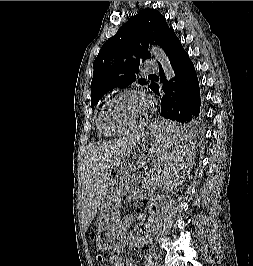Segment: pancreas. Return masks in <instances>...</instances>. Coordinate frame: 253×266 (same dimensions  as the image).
Segmentation results:
<instances>
[{
    "instance_id": "pancreas-1",
    "label": "pancreas",
    "mask_w": 253,
    "mask_h": 266,
    "mask_svg": "<svg viewBox=\"0 0 253 266\" xmlns=\"http://www.w3.org/2000/svg\"><path fill=\"white\" fill-rule=\"evenodd\" d=\"M131 178L132 177H127L126 179H125V188H126V192L128 193V200L130 201V200H133V201H135V202H137V201H140L141 199H144V198H146L147 197V194H145V193H143V191H141V190H139V189H132V188H130V185H131V183H132V181L133 180H131ZM148 183H146V186L147 185H151V186H153V185H155V180L154 179H152V178H148ZM141 192H142V194H141Z\"/></svg>"
}]
</instances>
